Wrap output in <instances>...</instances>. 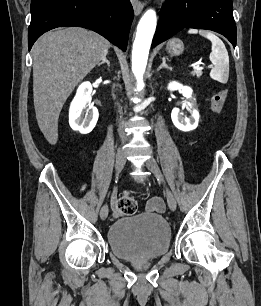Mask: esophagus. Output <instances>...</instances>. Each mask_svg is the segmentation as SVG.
<instances>
[{"label": "esophagus", "instance_id": "1", "mask_svg": "<svg viewBox=\"0 0 261 306\" xmlns=\"http://www.w3.org/2000/svg\"><path fill=\"white\" fill-rule=\"evenodd\" d=\"M135 15H139L143 10V4L140 0H131Z\"/></svg>", "mask_w": 261, "mask_h": 306}]
</instances>
